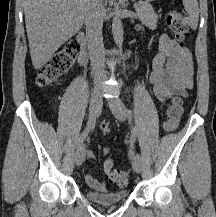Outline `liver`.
<instances>
[{
  "label": "liver",
  "mask_w": 216,
  "mask_h": 217,
  "mask_svg": "<svg viewBox=\"0 0 216 217\" xmlns=\"http://www.w3.org/2000/svg\"><path fill=\"white\" fill-rule=\"evenodd\" d=\"M88 0H23L32 65L41 68L82 27Z\"/></svg>",
  "instance_id": "liver-1"
}]
</instances>
